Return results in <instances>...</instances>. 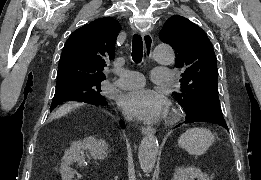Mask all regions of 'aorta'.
Instances as JSON below:
<instances>
[{
	"label": "aorta",
	"mask_w": 261,
	"mask_h": 180,
	"mask_svg": "<svg viewBox=\"0 0 261 180\" xmlns=\"http://www.w3.org/2000/svg\"><path fill=\"white\" fill-rule=\"evenodd\" d=\"M174 51L168 45H158L153 52V58L158 63L169 64L174 60ZM158 140L154 135H148L143 138L138 150V158L141 169L144 172H151L155 166L158 154Z\"/></svg>",
	"instance_id": "obj_1"
}]
</instances>
